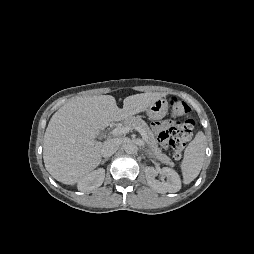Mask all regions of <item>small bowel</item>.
<instances>
[{"label": "small bowel", "mask_w": 254, "mask_h": 254, "mask_svg": "<svg viewBox=\"0 0 254 254\" xmlns=\"http://www.w3.org/2000/svg\"><path fill=\"white\" fill-rule=\"evenodd\" d=\"M169 125V122H165L163 124L157 125L156 126V131L160 132L161 130H163L164 128H166Z\"/></svg>", "instance_id": "small-bowel-1"}]
</instances>
